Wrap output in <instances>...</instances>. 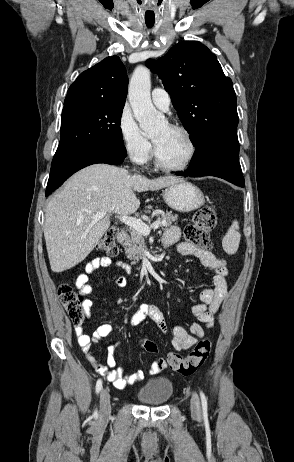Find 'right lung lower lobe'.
I'll return each instance as SVG.
<instances>
[{"label": "right lung lower lobe", "mask_w": 294, "mask_h": 462, "mask_svg": "<svg viewBox=\"0 0 294 462\" xmlns=\"http://www.w3.org/2000/svg\"><path fill=\"white\" fill-rule=\"evenodd\" d=\"M126 156L125 147L114 143L72 146L56 151L45 195L48 196L81 168L95 163L118 165Z\"/></svg>", "instance_id": "right-lung-lower-lobe-1"}]
</instances>
